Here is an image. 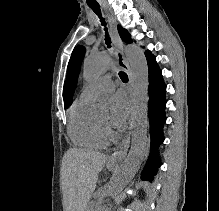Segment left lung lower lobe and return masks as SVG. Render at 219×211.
Returning a JSON list of instances; mask_svg holds the SVG:
<instances>
[{
	"instance_id": "0a47b994",
	"label": "left lung lower lobe",
	"mask_w": 219,
	"mask_h": 211,
	"mask_svg": "<svg viewBox=\"0 0 219 211\" xmlns=\"http://www.w3.org/2000/svg\"><path fill=\"white\" fill-rule=\"evenodd\" d=\"M146 58L149 68L148 115L150 122L151 154L141 174V178L142 180L151 181L160 166V159L158 158V151L156 148L164 141L163 125L166 121V85L163 81L162 73L156 63L155 57L151 53H148L146 54Z\"/></svg>"
}]
</instances>
